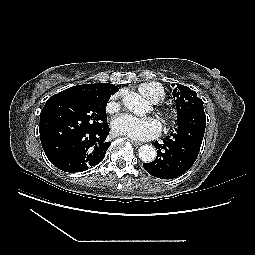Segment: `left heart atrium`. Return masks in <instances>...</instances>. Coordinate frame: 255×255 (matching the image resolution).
Returning <instances> with one entry per match:
<instances>
[{
	"mask_svg": "<svg viewBox=\"0 0 255 255\" xmlns=\"http://www.w3.org/2000/svg\"><path fill=\"white\" fill-rule=\"evenodd\" d=\"M117 135L127 136L136 140H147L156 137L161 130L159 122L151 117L136 118L129 114L115 117L111 123Z\"/></svg>",
	"mask_w": 255,
	"mask_h": 255,
	"instance_id": "left-heart-atrium-1",
	"label": "left heart atrium"
}]
</instances>
